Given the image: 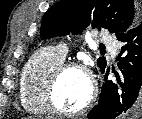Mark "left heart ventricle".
<instances>
[{"label":"left heart ventricle","instance_id":"1","mask_svg":"<svg viewBox=\"0 0 142 119\" xmlns=\"http://www.w3.org/2000/svg\"><path fill=\"white\" fill-rule=\"evenodd\" d=\"M89 96L87 77L80 71L71 70L61 78L56 91V101L65 110L82 106Z\"/></svg>","mask_w":142,"mask_h":119}]
</instances>
